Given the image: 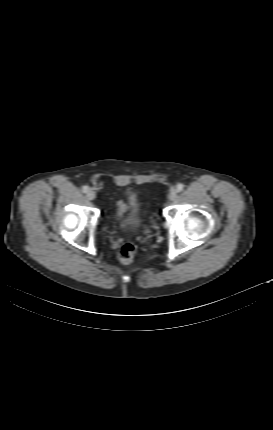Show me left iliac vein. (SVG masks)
<instances>
[{
  "mask_svg": "<svg viewBox=\"0 0 273 430\" xmlns=\"http://www.w3.org/2000/svg\"><path fill=\"white\" fill-rule=\"evenodd\" d=\"M177 196V190L176 189H172L168 195L169 200L173 201L176 199Z\"/></svg>",
  "mask_w": 273,
  "mask_h": 430,
  "instance_id": "left-iliac-vein-1",
  "label": "left iliac vein"
}]
</instances>
